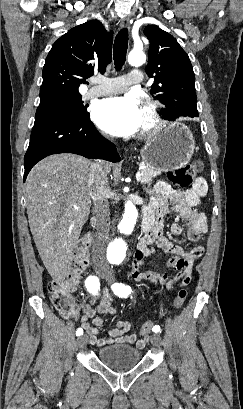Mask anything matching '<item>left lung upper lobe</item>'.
I'll use <instances>...</instances> for the list:
<instances>
[{"label": "left lung upper lobe", "instance_id": "obj_1", "mask_svg": "<svg viewBox=\"0 0 243 409\" xmlns=\"http://www.w3.org/2000/svg\"><path fill=\"white\" fill-rule=\"evenodd\" d=\"M144 34L150 41L145 71L155 80L150 92L166 106L163 117L172 120L179 113L198 114L195 76L187 53L156 25L146 26Z\"/></svg>", "mask_w": 243, "mask_h": 409}]
</instances>
